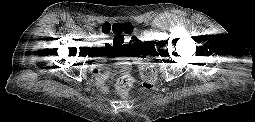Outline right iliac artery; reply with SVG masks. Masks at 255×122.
Here are the masks:
<instances>
[{
    "label": "right iliac artery",
    "mask_w": 255,
    "mask_h": 122,
    "mask_svg": "<svg viewBox=\"0 0 255 122\" xmlns=\"http://www.w3.org/2000/svg\"><path fill=\"white\" fill-rule=\"evenodd\" d=\"M89 34H90L91 36H94V35H95V32H94L93 30H90Z\"/></svg>",
    "instance_id": "right-iliac-artery-1"
}]
</instances>
